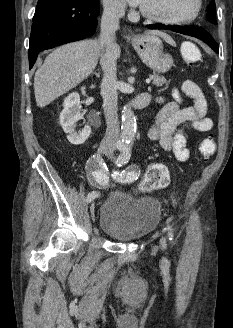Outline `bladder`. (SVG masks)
Segmentation results:
<instances>
[{
  "label": "bladder",
  "mask_w": 233,
  "mask_h": 328,
  "mask_svg": "<svg viewBox=\"0 0 233 328\" xmlns=\"http://www.w3.org/2000/svg\"><path fill=\"white\" fill-rule=\"evenodd\" d=\"M98 219L100 229L107 236L134 241L157 226L160 220L159 203L153 197H133L116 191L101 204Z\"/></svg>",
  "instance_id": "1"
}]
</instances>
